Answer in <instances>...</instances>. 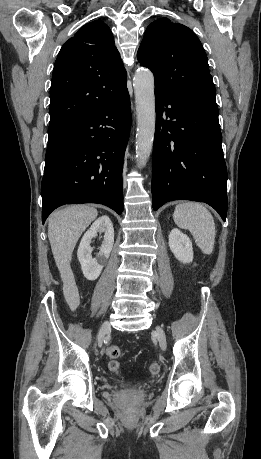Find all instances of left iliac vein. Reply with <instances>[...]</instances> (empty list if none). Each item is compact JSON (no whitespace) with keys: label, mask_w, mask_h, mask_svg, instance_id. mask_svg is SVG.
<instances>
[{"label":"left iliac vein","mask_w":261,"mask_h":459,"mask_svg":"<svg viewBox=\"0 0 261 459\" xmlns=\"http://www.w3.org/2000/svg\"><path fill=\"white\" fill-rule=\"evenodd\" d=\"M156 335L159 341L160 348L163 351H165L167 347L166 336H165L163 329L160 326L156 328Z\"/></svg>","instance_id":"obj_1"}]
</instances>
